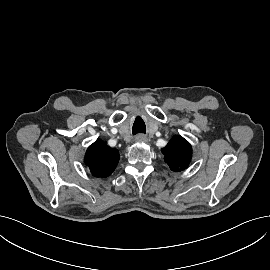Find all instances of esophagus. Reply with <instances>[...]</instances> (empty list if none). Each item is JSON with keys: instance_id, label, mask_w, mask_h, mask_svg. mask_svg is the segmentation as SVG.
Instances as JSON below:
<instances>
[{"instance_id": "1", "label": "esophagus", "mask_w": 270, "mask_h": 270, "mask_svg": "<svg viewBox=\"0 0 270 270\" xmlns=\"http://www.w3.org/2000/svg\"><path fill=\"white\" fill-rule=\"evenodd\" d=\"M135 141H137V142H146L147 141V137L144 134H138L135 137Z\"/></svg>"}]
</instances>
